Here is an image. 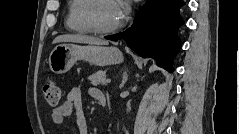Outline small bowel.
Wrapping results in <instances>:
<instances>
[{"instance_id":"obj_1","label":"small bowel","mask_w":239,"mask_h":134,"mask_svg":"<svg viewBox=\"0 0 239 134\" xmlns=\"http://www.w3.org/2000/svg\"><path fill=\"white\" fill-rule=\"evenodd\" d=\"M88 92L92 98L98 101L104 95L97 88H90ZM64 119L73 120L79 134H88V127L81 103V91L78 88L71 89L64 102L51 113V120L54 125H61Z\"/></svg>"}]
</instances>
